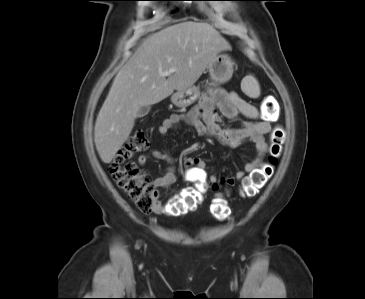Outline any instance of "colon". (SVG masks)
Instances as JSON below:
<instances>
[{"label": "colon", "mask_w": 365, "mask_h": 299, "mask_svg": "<svg viewBox=\"0 0 365 299\" xmlns=\"http://www.w3.org/2000/svg\"><path fill=\"white\" fill-rule=\"evenodd\" d=\"M275 111L273 103L266 102L261 115L263 118L270 120L273 119ZM283 139L282 129H277L272 133L267 162L261 169L252 172L242 182L240 195L243 198L256 195L271 178L282 152ZM148 147L149 141L144 130H136L118 150L108 169L117 186L127 194L129 199L142 212L146 213L153 211L155 208L157 202L156 189L149 178L141 173L137 164L130 161V158L136 153L146 151ZM205 192L206 186L202 182L186 188L168 202V213L180 215L193 211L203 201ZM210 212L217 219H225L229 215V209L221 196L215 198L210 207Z\"/></svg>", "instance_id": "colon-1"}]
</instances>
